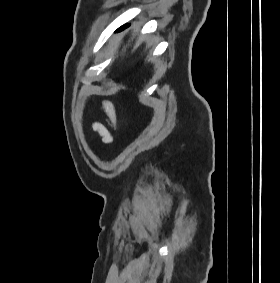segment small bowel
Returning <instances> with one entry per match:
<instances>
[{
    "instance_id": "1",
    "label": "small bowel",
    "mask_w": 280,
    "mask_h": 283,
    "mask_svg": "<svg viewBox=\"0 0 280 283\" xmlns=\"http://www.w3.org/2000/svg\"><path fill=\"white\" fill-rule=\"evenodd\" d=\"M91 127H92L93 131L98 133V135L101 137V139L104 143L108 144L112 141L111 132L102 123L93 122Z\"/></svg>"
}]
</instances>
